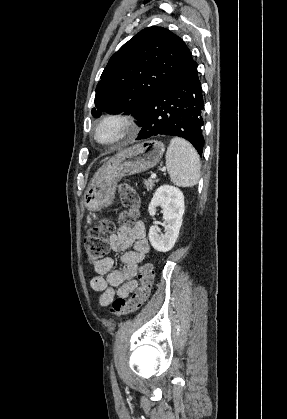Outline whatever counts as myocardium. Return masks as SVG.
<instances>
[{
    "label": "myocardium",
    "mask_w": 287,
    "mask_h": 419,
    "mask_svg": "<svg viewBox=\"0 0 287 419\" xmlns=\"http://www.w3.org/2000/svg\"><path fill=\"white\" fill-rule=\"evenodd\" d=\"M106 124H114L116 126H119L120 128H122L123 133L117 138L109 142L100 141L99 138L97 137V132L102 126ZM137 133H138V126L132 117L125 114L113 113V114H107L101 117L95 123L92 130V137L94 141L102 147H113V146H117L126 141L131 140L137 135Z\"/></svg>",
    "instance_id": "1"
}]
</instances>
